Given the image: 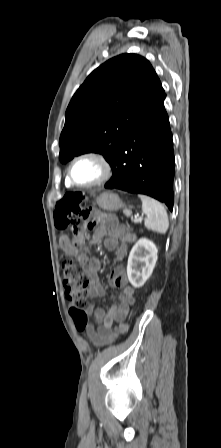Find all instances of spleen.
I'll return each instance as SVG.
<instances>
[{"instance_id": "1", "label": "spleen", "mask_w": 221, "mask_h": 448, "mask_svg": "<svg viewBox=\"0 0 221 448\" xmlns=\"http://www.w3.org/2000/svg\"><path fill=\"white\" fill-rule=\"evenodd\" d=\"M142 201V211L146 215L144 222L148 230L165 234L168 230L169 221L166 209L157 200L146 195H139Z\"/></svg>"}]
</instances>
